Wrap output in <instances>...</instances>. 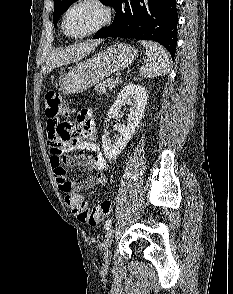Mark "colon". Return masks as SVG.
I'll return each instance as SVG.
<instances>
[{
	"label": "colon",
	"mask_w": 233,
	"mask_h": 294,
	"mask_svg": "<svg viewBox=\"0 0 233 294\" xmlns=\"http://www.w3.org/2000/svg\"><path fill=\"white\" fill-rule=\"evenodd\" d=\"M57 110H66L67 114L73 111L67 107L61 100L60 95L55 91H49L45 95V115L54 117ZM65 202L71 212L84 224L97 226L106 217L111 210V202L105 200L98 205L89 207L84 198L77 193L66 191Z\"/></svg>",
	"instance_id": "obj_1"
}]
</instances>
